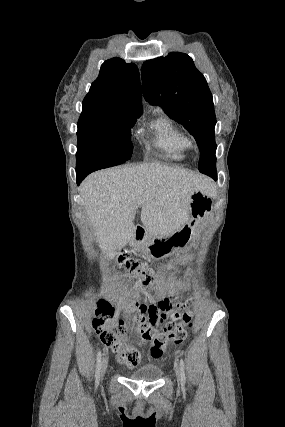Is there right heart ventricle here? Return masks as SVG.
<instances>
[{
  "instance_id": "obj_1",
  "label": "right heart ventricle",
  "mask_w": 285,
  "mask_h": 427,
  "mask_svg": "<svg viewBox=\"0 0 285 427\" xmlns=\"http://www.w3.org/2000/svg\"><path fill=\"white\" fill-rule=\"evenodd\" d=\"M156 146L172 159H182L190 147L186 134L162 112L154 120Z\"/></svg>"
}]
</instances>
